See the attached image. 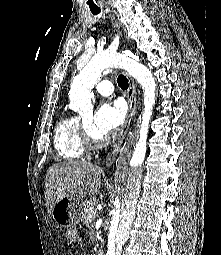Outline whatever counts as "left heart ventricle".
<instances>
[{"mask_svg":"<svg viewBox=\"0 0 221 255\" xmlns=\"http://www.w3.org/2000/svg\"><path fill=\"white\" fill-rule=\"evenodd\" d=\"M92 118H88L85 121L86 126L88 127L89 131L91 132V134L95 137H101V135H99L93 128V124H92Z\"/></svg>","mask_w":221,"mask_h":255,"instance_id":"1","label":"left heart ventricle"}]
</instances>
